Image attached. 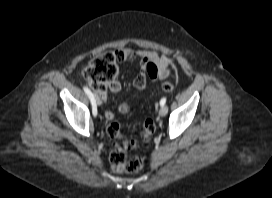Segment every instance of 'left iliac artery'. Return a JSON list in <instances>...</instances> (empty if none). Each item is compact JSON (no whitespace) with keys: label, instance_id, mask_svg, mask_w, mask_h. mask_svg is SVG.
<instances>
[{"label":"left iliac artery","instance_id":"1","mask_svg":"<svg viewBox=\"0 0 272 198\" xmlns=\"http://www.w3.org/2000/svg\"><path fill=\"white\" fill-rule=\"evenodd\" d=\"M166 103V97H163L161 100H160V105L161 106H164Z\"/></svg>","mask_w":272,"mask_h":198}]
</instances>
